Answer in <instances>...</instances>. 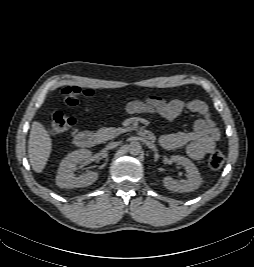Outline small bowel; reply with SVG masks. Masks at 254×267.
<instances>
[{
  "instance_id": "1",
  "label": "small bowel",
  "mask_w": 254,
  "mask_h": 267,
  "mask_svg": "<svg viewBox=\"0 0 254 267\" xmlns=\"http://www.w3.org/2000/svg\"><path fill=\"white\" fill-rule=\"evenodd\" d=\"M125 109L129 113H158L171 121L178 118L185 110L196 114L197 118L190 132L164 134L159 138L161 146L165 149L172 150L186 146L188 156L195 160H200L212 152L220 138L208 106L201 100L166 101L157 96H150L142 101L129 102Z\"/></svg>"
}]
</instances>
